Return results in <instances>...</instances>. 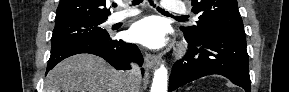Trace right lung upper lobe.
I'll return each instance as SVG.
<instances>
[{
	"label": "right lung upper lobe",
	"instance_id": "cb5924a9",
	"mask_svg": "<svg viewBox=\"0 0 289 92\" xmlns=\"http://www.w3.org/2000/svg\"><path fill=\"white\" fill-rule=\"evenodd\" d=\"M109 15L106 0H60L55 22L82 18L106 20Z\"/></svg>",
	"mask_w": 289,
	"mask_h": 92
}]
</instances>
